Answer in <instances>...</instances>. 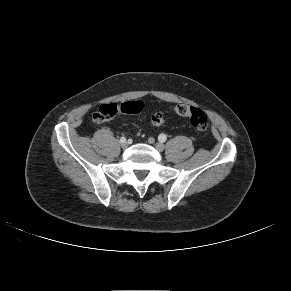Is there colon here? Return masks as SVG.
Instances as JSON below:
<instances>
[{"mask_svg": "<svg viewBox=\"0 0 291 291\" xmlns=\"http://www.w3.org/2000/svg\"><path fill=\"white\" fill-rule=\"evenodd\" d=\"M144 104L139 100L126 101L121 104L107 103L102 104L93 114V120L96 123H102L111 120L117 114H139L142 112ZM178 116L188 118L191 125L199 130L204 131L208 127V118L199 108L187 104H178L174 108ZM151 122L155 126H162L165 122V116L162 112H156L151 117Z\"/></svg>", "mask_w": 291, "mask_h": 291, "instance_id": "1", "label": "colon"}]
</instances>
